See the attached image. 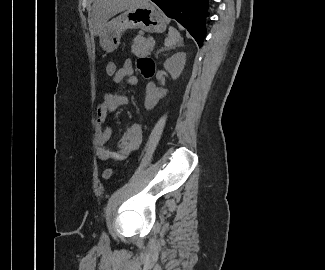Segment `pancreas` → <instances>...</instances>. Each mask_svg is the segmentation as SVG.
<instances>
[{"instance_id":"1","label":"pancreas","mask_w":325,"mask_h":270,"mask_svg":"<svg viewBox=\"0 0 325 270\" xmlns=\"http://www.w3.org/2000/svg\"><path fill=\"white\" fill-rule=\"evenodd\" d=\"M151 38L145 39L141 35H137L133 41V45L131 47L132 53L136 56H145L152 51L153 47L150 45Z\"/></svg>"}]
</instances>
